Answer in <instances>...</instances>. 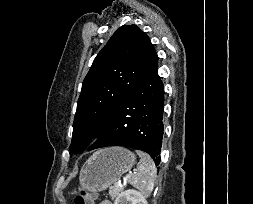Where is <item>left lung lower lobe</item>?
<instances>
[{"label": "left lung lower lobe", "mask_w": 253, "mask_h": 204, "mask_svg": "<svg viewBox=\"0 0 253 204\" xmlns=\"http://www.w3.org/2000/svg\"><path fill=\"white\" fill-rule=\"evenodd\" d=\"M157 68L155 53L140 82L97 133L99 139L88 151L113 145L125 146L147 152L159 165L164 129V87Z\"/></svg>", "instance_id": "1"}]
</instances>
